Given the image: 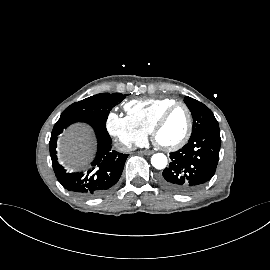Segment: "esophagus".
I'll list each match as a JSON object with an SVG mask.
<instances>
[{"label":"esophagus","instance_id":"1","mask_svg":"<svg viewBox=\"0 0 270 270\" xmlns=\"http://www.w3.org/2000/svg\"><path fill=\"white\" fill-rule=\"evenodd\" d=\"M141 153H143L144 155H151V154H153V151H150V150H144V151H142Z\"/></svg>","mask_w":270,"mask_h":270}]
</instances>
